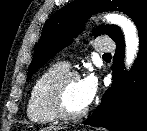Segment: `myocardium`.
Returning a JSON list of instances; mask_svg holds the SVG:
<instances>
[{
    "mask_svg": "<svg viewBox=\"0 0 147 131\" xmlns=\"http://www.w3.org/2000/svg\"><path fill=\"white\" fill-rule=\"evenodd\" d=\"M73 79H80V74L77 71L67 70L57 76L47 89L48 105L58 119L68 121L77 120L85 116L88 112L87 106L78 112H70L65 106V88Z\"/></svg>",
    "mask_w": 147,
    "mask_h": 131,
    "instance_id": "f54148a6",
    "label": "myocardium"
}]
</instances>
